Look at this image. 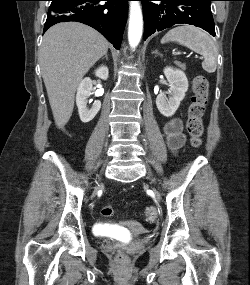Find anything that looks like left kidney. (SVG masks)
<instances>
[{
	"instance_id": "5707ae66",
	"label": "left kidney",
	"mask_w": 250,
	"mask_h": 285,
	"mask_svg": "<svg viewBox=\"0 0 250 285\" xmlns=\"http://www.w3.org/2000/svg\"><path fill=\"white\" fill-rule=\"evenodd\" d=\"M163 72L169 82L168 94L170 96L167 98L166 94H159L156 98V106L163 116L171 117L185 97L188 90V80L183 71L173 67H166Z\"/></svg>"
}]
</instances>
